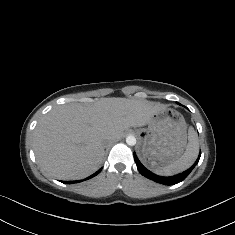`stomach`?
<instances>
[{
  "mask_svg": "<svg viewBox=\"0 0 235 235\" xmlns=\"http://www.w3.org/2000/svg\"><path fill=\"white\" fill-rule=\"evenodd\" d=\"M137 135L141 140L140 157L152 169L178 159L187 146L184 117L169 108L154 113L147 127L137 129Z\"/></svg>",
  "mask_w": 235,
  "mask_h": 235,
  "instance_id": "1",
  "label": "stomach"
}]
</instances>
